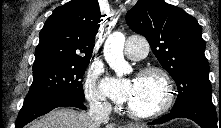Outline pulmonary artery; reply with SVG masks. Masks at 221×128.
Wrapping results in <instances>:
<instances>
[{"mask_svg": "<svg viewBox=\"0 0 221 128\" xmlns=\"http://www.w3.org/2000/svg\"><path fill=\"white\" fill-rule=\"evenodd\" d=\"M148 47V42L144 37L132 35L127 39L125 43V55L129 59H139L146 55Z\"/></svg>", "mask_w": 221, "mask_h": 128, "instance_id": "e3ab8cb5", "label": "pulmonary artery"}]
</instances>
